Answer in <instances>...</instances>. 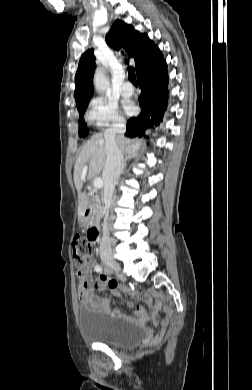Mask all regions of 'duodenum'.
I'll return each mask as SVG.
<instances>
[{"instance_id":"1","label":"duodenum","mask_w":252,"mask_h":390,"mask_svg":"<svg viewBox=\"0 0 252 390\" xmlns=\"http://www.w3.org/2000/svg\"><path fill=\"white\" fill-rule=\"evenodd\" d=\"M92 214L93 211L91 207H87L84 209L82 214V221L85 225L89 224ZM99 227H100L99 222H95L94 226L92 227V229L95 231V236H94L95 241H99L100 239Z\"/></svg>"}]
</instances>
